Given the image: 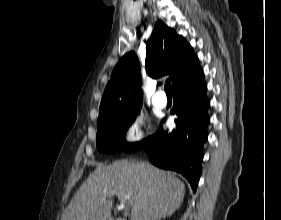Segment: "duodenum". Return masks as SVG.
<instances>
[{"instance_id": "duodenum-1", "label": "duodenum", "mask_w": 281, "mask_h": 220, "mask_svg": "<svg viewBox=\"0 0 281 220\" xmlns=\"http://www.w3.org/2000/svg\"><path fill=\"white\" fill-rule=\"evenodd\" d=\"M113 220H124V219H122V218H116V219H113Z\"/></svg>"}]
</instances>
